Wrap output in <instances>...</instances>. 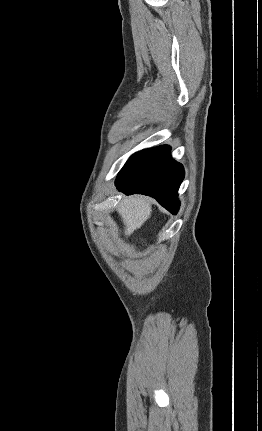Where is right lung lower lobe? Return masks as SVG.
<instances>
[{
  "label": "right lung lower lobe",
  "mask_w": 262,
  "mask_h": 431,
  "mask_svg": "<svg viewBox=\"0 0 262 431\" xmlns=\"http://www.w3.org/2000/svg\"><path fill=\"white\" fill-rule=\"evenodd\" d=\"M167 145L133 154L116 178V187L129 195H149L171 213L179 209L178 189L184 179L183 166L173 160Z\"/></svg>",
  "instance_id": "obj_1"
}]
</instances>
